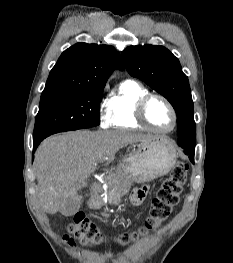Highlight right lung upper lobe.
<instances>
[{
    "label": "right lung upper lobe",
    "mask_w": 233,
    "mask_h": 263,
    "mask_svg": "<svg viewBox=\"0 0 233 263\" xmlns=\"http://www.w3.org/2000/svg\"><path fill=\"white\" fill-rule=\"evenodd\" d=\"M115 68L123 70L124 66L113 46L77 43L61 54L42 95L103 89Z\"/></svg>",
    "instance_id": "right-lung-upper-lobe-1"
}]
</instances>
